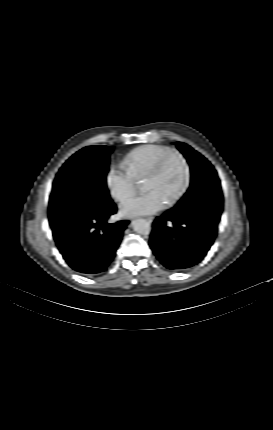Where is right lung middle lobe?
I'll return each mask as SVG.
<instances>
[{"label": "right lung middle lobe", "mask_w": 273, "mask_h": 430, "mask_svg": "<svg viewBox=\"0 0 273 430\" xmlns=\"http://www.w3.org/2000/svg\"><path fill=\"white\" fill-rule=\"evenodd\" d=\"M112 147L88 146L62 166L53 183L48 215L51 226L114 205L106 187Z\"/></svg>", "instance_id": "right-lung-middle-lobe-1"}]
</instances>
